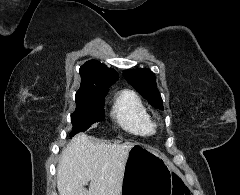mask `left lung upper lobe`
Here are the masks:
<instances>
[{"label":"left lung upper lobe","mask_w":240,"mask_h":195,"mask_svg":"<svg viewBox=\"0 0 240 195\" xmlns=\"http://www.w3.org/2000/svg\"><path fill=\"white\" fill-rule=\"evenodd\" d=\"M124 78L157 109L163 110V100L157 88L155 75L148 68L124 71Z\"/></svg>","instance_id":"5c2ea615"}]
</instances>
